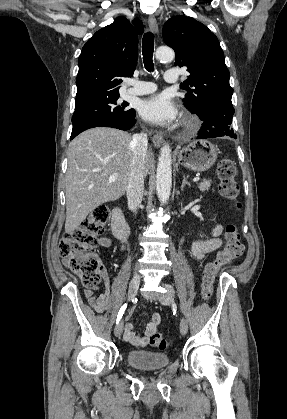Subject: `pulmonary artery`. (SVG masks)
Here are the masks:
<instances>
[{
	"label": "pulmonary artery",
	"mask_w": 287,
	"mask_h": 419,
	"mask_svg": "<svg viewBox=\"0 0 287 419\" xmlns=\"http://www.w3.org/2000/svg\"><path fill=\"white\" fill-rule=\"evenodd\" d=\"M164 79L167 83H177L179 81V73L176 70H167L165 72ZM128 84L130 85L128 92L132 95L149 94L156 90V85L153 82L132 79L128 81Z\"/></svg>",
	"instance_id": "e3ab8cb5"
}]
</instances>
